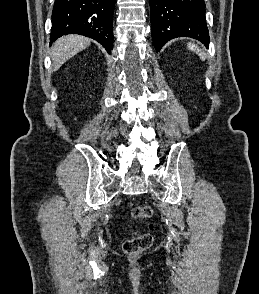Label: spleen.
Here are the masks:
<instances>
[{"instance_id":"3e777b00","label":"spleen","mask_w":259,"mask_h":294,"mask_svg":"<svg viewBox=\"0 0 259 294\" xmlns=\"http://www.w3.org/2000/svg\"><path fill=\"white\" fill-rule=\"evenodd\" d=\"M188 48L192 51H195L201 58H203L202 51L195 44L188 43Z\"/></svg>"}]
</instances>
